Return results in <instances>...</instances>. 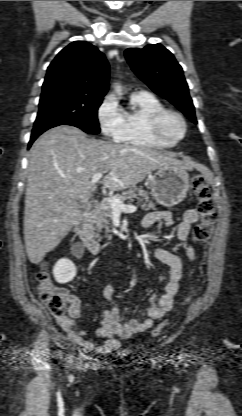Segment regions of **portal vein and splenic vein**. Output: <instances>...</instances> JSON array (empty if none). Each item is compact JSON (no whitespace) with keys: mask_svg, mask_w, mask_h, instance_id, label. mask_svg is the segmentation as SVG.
Segmentation results:
<instances>
[{"mask_svg":"<svg viewBox=\"0 0 242 416\" xmlns=\"http://www.w3.org/2000/svg\"><path fill=\"white\" fill-rule=\"evenodd\" d=\"M103 176L102 172H98L94 174L91 178V184L97 183ZM108 202L112 208L113 211L116 212H133L137 208L134 205H126L121 201L120 199L116 197L108 198Z\"/></svg>","mask_w":242,"mask_h":416,"instance_id":"portal-vein-and-splenic-vein-1","label":"portal vein and splenic vein"}]
</instances>
